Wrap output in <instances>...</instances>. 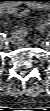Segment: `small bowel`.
Masks as SVG:
<instances>
[{"label": "small bowel", "instance_id": "small-bowel-1", "mask_svg": "<svg viewBox=\"0 0 50 111\" xmlns=\"http://www.w3.org/2000/svg\"><path fill=\"white\" fill-rule=\"evenodd\" d=\"M39 8H46L44 6H39ZM1 13H7V14H11L14 16H26L28 14V10L24 9V8H20V7H7L4 6L1 9ZM50 25V19L46 18L45 20L41 21L38 25H37V29L42 31L44 30L46 27H48ZM26 35V28L25 27H21L19 29H17L14 33H13V39L16 43H19L22 38Z\"/></svg>", "mask_w": 50, "mask_h": 111}]
</instances>
